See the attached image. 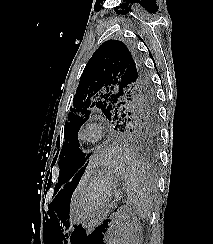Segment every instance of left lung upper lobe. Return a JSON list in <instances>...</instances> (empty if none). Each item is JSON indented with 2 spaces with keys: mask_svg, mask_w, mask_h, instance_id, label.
Returning a JSON list of instances; mask_svg holds the SVG:
<instances>
[{
  "mask_svg": "<svg viewBox=\"0 0 213 244\" xmlns=\"http://www.w3.org/2000/svg\"><path fill=\"white\" fill-rule=\"evenodd\" d=\"M96 106L102 114L141 140L157 137L159 118L150 75L140 57L118 40L104 42L89 59L80 77L73 107L65 123L59 156V180L71 179L79 154L78 131Z\"/></svg>",
  "mask_w": 213,
  "mask_h": 244,
  "instance_id": "left-lung-upper-lobe-1",
  "label": "left lung upper lobe"
}]
</instances>
